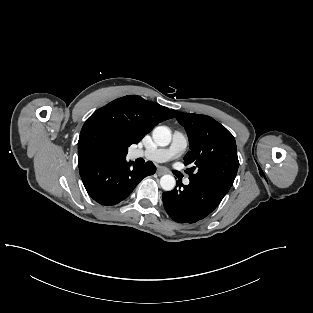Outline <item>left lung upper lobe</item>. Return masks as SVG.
Listing matches in <instances>:
<instances>
[{
	"mask_svg": "<svg viewBox=\"0 0 313 313\" xmlns=\"http://www.w3.org/2000/svg\"><path fill=\"white\" fill-rule=\"evenodd\" d=\"M187 131L190 152L184 157L189 179L229 191L237 174L239 161L234 136L213 118L173 110Z\"/></svg>",
	"mask_w": 313,
	"mask_h": 313,
	"instance_id": "1",
	"label": "left lung upper lobe"
}]
</instances>
